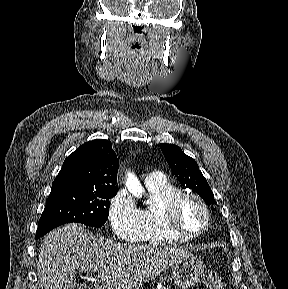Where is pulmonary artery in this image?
Here are the masks:
<instances>
[{"label": "pulmonary artery", "mask_w": 288, "mask_h": 289, "mask_svg": "<svg viewBox=\"0 0 288 289\" xmlns=\"http://www.w3.org/2000/svg\"><path fill=\"white\" fill-rule=\"evenodd\" d=\"M166 180L164 174L160 171H154L147 175L145 178L146 185L161 184Z\"/></svg>", "instance_id": "e3ab8cb5"}]
</instances>
